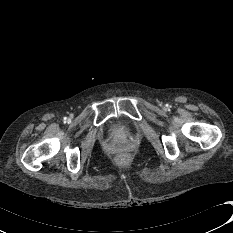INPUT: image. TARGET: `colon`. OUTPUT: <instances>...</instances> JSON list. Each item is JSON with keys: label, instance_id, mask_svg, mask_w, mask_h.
Wrapping results in <instances>:
<instances>
[{"label": "colon", "instance_id": "1", "mask_svg": "<svg viewBox=\"0 0 233 233\" xmlns=\"http://www.w3.org/2000/svg\"><path fill=\"white\" fill-rule=\"evenodd\" d=\"M118 158H119V160H125L126 159L125 155H123V154H120Z\"/></svg>", "mask_w": 233, "mask_h": 233}]
</instances>
